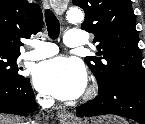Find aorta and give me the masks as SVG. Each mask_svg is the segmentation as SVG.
I'll return each instance as SVG.
<instances>
[{
    "instance_id": "obj_1",
    "label": "aorta",
    "mask_w": 145,
    "mask_h": 124,
    "mask_svg": "<svg viewBox=\"0 0 145 124\" xmlns=\"http://www.w3.org/2000/svg\"><path fill=\"white\" fill-rule=\"evenodd\" d=\"M67 19L69 22L79 23L83 21L84 15L79 9L72 8L67 11Z\"/></svg>"
}]
</instances>
